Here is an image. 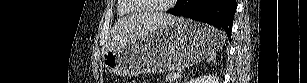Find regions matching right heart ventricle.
I'll list each match as a JSON object with an SVG mask.
<instances>
[{
  "label": "right heart ventricle",
  "mask_w": 307,
  "mask_h": 83,
  "mask_svg": "<svg viewBox=\"0 0 307 83\" xmlns=\"http://www.w3.org/2000/svg\"><path fill=\"white\" fill-rule=\"evenodd\" d=\"M119 13L120 14H129V13H136L140 12L133 4H131L129 1H121V4L119 5Z\"/></svg>",
  "instance_id": "right-heart-ventricle-1"
}]
</instances>
